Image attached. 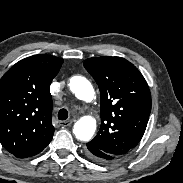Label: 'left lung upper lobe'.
I'll return each instance as SVG.
<instances>
[{
  "mask_svg": "<svg viewBox=\"0 0 183 183\" xmlns=\"http://www.w3.org/2000/svg\"><path fill=\"white\" fill-rule=\"evenodd\" d=\"M85 69L100 90L101 126L90 146L115 157L126 154L143 137L150 111L149 87L139 70L121 57H95Z\"/></svg>",
  "mask_w": 183,
  "mask_h": 183,
  "instance_id": "1",
  "label": "left lung upper lobe"
}]
</instances>
